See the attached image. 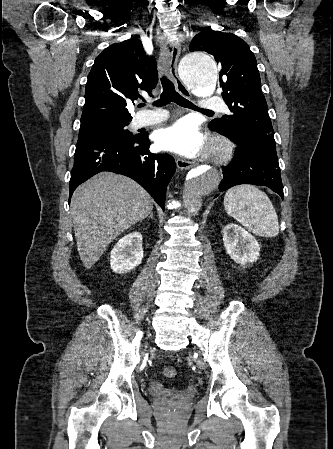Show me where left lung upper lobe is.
<instances>
[{
    "mask_svg": "<svg viewBox=\"0 0 333 449\" xmlns=\"http://www.w3.org/2000/svg\"><path fill=\"white\" fill-rule=\"evenodd\" d=\"M189 50L207 52L221 66L220 87L231 114L211 121L210 129L233 141L276 153L257 61L248 44L235 34L207 27L193 38Z\"/></svg>",
    "mask_w": 333,
    "mask_h": 449,
    "instance_id": "left-lung-upper-lobe-1",
    "label": "left lung upper lobe"
}]
</instances>
